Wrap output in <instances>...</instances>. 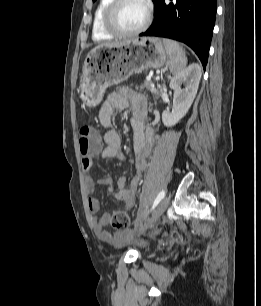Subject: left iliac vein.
Here are the masks:
<instances>
[{"instance_id":"left-iliac-vein-1","label":"left iliac vein","mask_w":261,"mask_h":306,"mask_svg":"<svg viewBox=\"0 0 261 306\" xmlns=\"http://www.w3.org/2000/svg\"><path fill=\"white\" fill-rule=\"evenodd\" d=\"M170 202V198H164L156 207L155 211L152 213L151 217L137 230L136 235H141L144 231L152 227L159 218L163 215V213L168 208Z\"/></svg>"}]
</instances>
